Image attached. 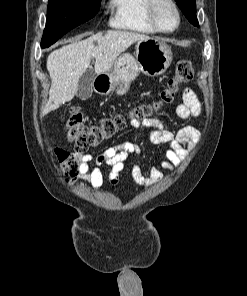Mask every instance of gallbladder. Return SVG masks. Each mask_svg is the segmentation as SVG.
I'll return each mask as SVG.
<instances>
[{
  "instance_id": "obj_1",
  "label": "gallbladder",
  "mask_w": 247,
  "mask_h": 296,
  "mask_svg": "<svg viewBox=\"0 0 247 296\" xmlns=\"http://www.w3.org/2000/svg\"><path fill=\"white\" fill-rule=\"evenodd\" d=\"M94 73L91 69H87L80 77L76 96L81 100H87L93 92Z\"/></svg>"
}]
</instances>
